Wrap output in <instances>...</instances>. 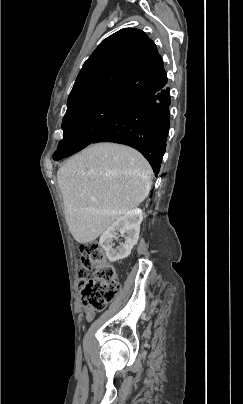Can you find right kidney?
<instances>
[{
	"label": "right kidney",
	"instance_id": "right-kidney-1",
	"mask_svg": "<svg viewBox=\"0 0 243 404\" xmlns=\"http://www.w3.org/2000/svg\"><path fill=\"white\" fill-rule=\"evenodd\" d=\"M142 220V210L135 208V210L126 212L125 216L117 218L116 222H113L108 230L100 236L99 244L105 250L110 262L128 258L133 246L138 242ZM118 232L124 238V242H120L119 246L114 248L113 240H118Z\"/></svg>",
	"mask_w": 243,
	"mask_h": 404
}]
</instances>
